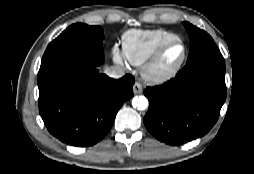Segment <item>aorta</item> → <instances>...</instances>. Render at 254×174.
I'll return each instance as SVG.
<instances>
[{
    "instance_id": "1",
    "label": "aorta",
    "mask_w": 254,
    "mask_h": 174,
    "mask_svg": "<svg viewBox=\"0 0 254 174\" xmlns=\"http://www.w3.org/2000/svg\"><path fill=\"white\" fill-rule=\"evenodd\" d=\"M132 104L138 110H145L148 107V99L145 96H137L133 99Z\"/></svg>"
}]
</instances>
